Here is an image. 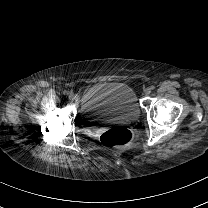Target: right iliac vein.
<instances>
[{"mask_svg":"<svg viewBox=\"0 0 208 208\" xmlns=\"http://www.w3.org/2000/svg\"><path fill=\"white\" fill-rule=\"evenodd\" d=\"M75 98H76V96H75L73 93H71V94L69 95V99H70V100H75Z\"/></svg>","mask_w":208,"mask_h":208,"instance_id":"right-iliac-vein-1","label":"right iliac vein"}]
</instances>
